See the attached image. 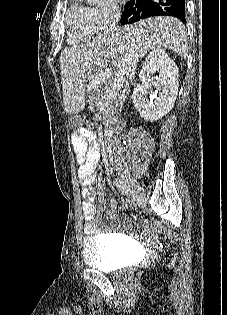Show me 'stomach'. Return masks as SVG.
Listing matches in <instances>:
<instances>
[{
    "label": "stomach",
    "instance_id": "0dacf381",
    "mask_svg": "<svg viewBox=\"0 0 227 315\" xmlns=\"http://www.w3.org/2000/svg\"><path fill=\"white\" fill-rule=\"evenodd\" d=\"M83 86L85 87V90L87 91L89 95H90V91L94 90V85L92 84L91 80H84ZM93 98H94V95H93Z\"/></svg>",
    "mask_w": 227,
    "mask_h": 315
}]
</instances>
